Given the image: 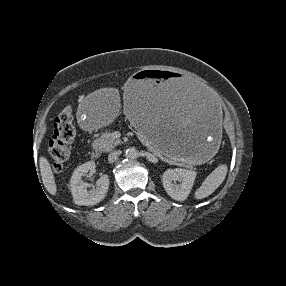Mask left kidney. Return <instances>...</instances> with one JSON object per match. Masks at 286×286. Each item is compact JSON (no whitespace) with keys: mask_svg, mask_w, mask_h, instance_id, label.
<instances>
[{"mask_svg":"<svg viewBox=\"0 0 286 286\" xmlns=\"http://www.w3.org/2000/svg\"><path fill=\"white\" fill-rule=\"evenodd\" d=\"M196 178V172L188 169H168L162 175L163 187L167 194L177 201L187 199ZM180 182L177 184L176 182Z\"/></svg>","mask_w":286,"mask_h":286,"instance_id":"obj_1","label":"left kidney"}]
</instances>
